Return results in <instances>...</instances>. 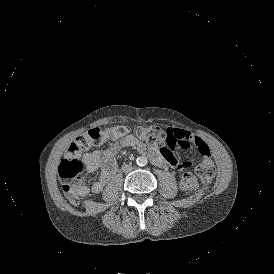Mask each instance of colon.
<instances>
[{"mask_svg": "<svg viewBox=\"0 0 274 274\" xmlns=\"http://www.w3.org/2000/svg\"><path fill=\"white\" fill-rule=\"evenodd\" d=\"M126 133L127 128L125 126L108 128L103 131L110 142L122 141ZM135 134L139 139L151 144H165V141L168 140L166 128L159 126L137 127ZM100 145V134L83 133L70 143L61 159L58 172L62 180V190L70 203H77L81 194L83 180V165L79 159L81 149H99ZM198 182L199 180L193 174H183L182 183L186 190H195Z\"/></svg>", "mask_w": 274, "mask_h": 274, "instance_id": "colon-1", "label": "colon"}]
</instances>
